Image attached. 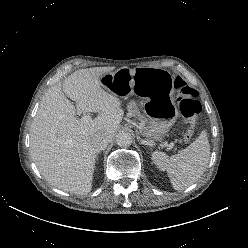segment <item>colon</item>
<instances>
[{
    "mask_svg": "<svg viewBox=\"0 0 248 248\" xmlns=\"http://www.w3.org/2000/svg\"><path fill=\"white\" fill-rule=\"evenodd\" d=\"M174 96L180 103V110L189 120V126L184 135V141L189 143L194 135V120L201 110V104L197 99L196 91L181 77L174 82Z\"/></svg>",
    "mask_w": 248,
    "mask_h": 248,
    "instance_id": "obj_1",
    "label": "colon"
}]
</instances>
